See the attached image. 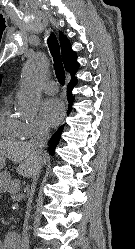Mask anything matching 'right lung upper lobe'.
Segmentation results:
<instances>
[{
	"label": "right lung upper lobe",
	"mask_w": 135,
	"mask_h": 249,
	"mask_svg": "<svg viewBox=\"0 0 135 249\" xmlns=\"http://www.w3.org/2000/svg\"><path fill=\"white\" fill-rule=\"evenodd\" d=\"M59 40L61 44L62 59L65 69L67 72L70 73L72 79H74L75 73L79 69V63L77 62V54L71 49V43L69 39L61 31L59 32Z\"/></svg>",
	"instance_id": "1"
}]
</instances>
